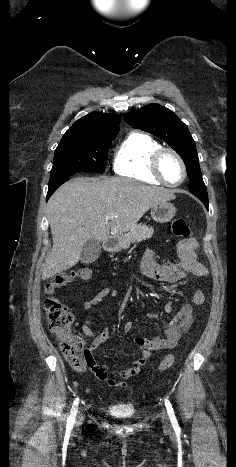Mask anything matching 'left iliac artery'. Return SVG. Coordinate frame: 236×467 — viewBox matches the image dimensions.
Here are the masks:
<instances>
[{"mask_svg": "<svg viewBox=\"0 0 236 467\" xmlns=\"http://www.w3.org/2000/svg\"><path fill=\"white\" fill-rule=\"evenodd\" d=\"M165 406H166L170 421L172 423V426L174 428L179 427L176 416L174 414L173 407H172L170 401L167 398L165 399Z\"/></svg>", "mask_w": 236, "mask_h": 467, "instance_id": "1", "label": "left iliac artery"}]
</instances>
